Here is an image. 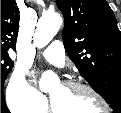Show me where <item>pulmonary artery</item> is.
Listing matches in <instances>:
<instances>
[{
    "mask_svg": "<svg viewBox=\"0 0 121 113\" xmlns=\"http://www.w3.org/2000/svg\"><path fill=\"white\" fill-rule=\"evenodd\" d=\"M42 57L51 65L64 67L66 62L65 51L60 41L52 42L41 52Z\"/></svg>",
    "mask_w": 121,
    "mask_h": 113,
    "instance_id": "e3ab8cb5",
    "label": "pulmonary artery"
}]
</instances>
